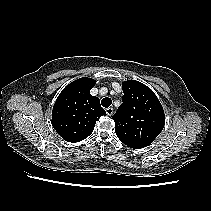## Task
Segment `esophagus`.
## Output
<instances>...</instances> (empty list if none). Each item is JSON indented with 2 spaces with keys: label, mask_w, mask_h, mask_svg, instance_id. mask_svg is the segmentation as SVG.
<instances>
[{
  "label": "esophagus",
  "mask_w": 211,
  "mask_h": 211,
  "mask_svg": "<svg viewBox=\"0 0 211 211\" xmlns=\"http://www.w3.org/2000/svg\"><path fill=\"white\" fill-rule=\"evenodd\" d=\"M113 113H114L113 108H107V109H106V114H107L108 116H112Z\"/></svg>",
  "instance_id": "1"
}]
</instances>
